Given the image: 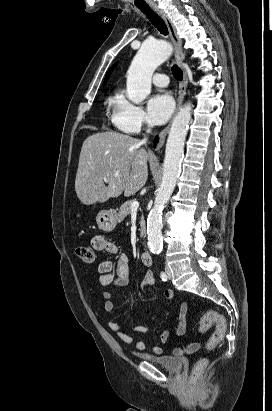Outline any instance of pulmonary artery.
<instances>
[{"instance_id": "e3ab8cb5", "label": "pulmonary artery", "mask_w": 272, "mask_h": 411, "mask_svg": "<svg viewBox=\"0 0 272 411\" xmlns=\"http://www.w3.org/2000/svg\"><path fill=\"white\" fill-rule=\"evenodd\" d=\"M153 84L158 87H166L169 83V79L166 74L157 73L153 76Z\"/></svg>"}]
</instances>
